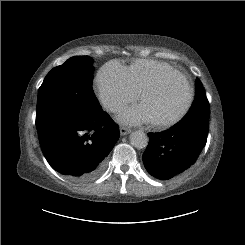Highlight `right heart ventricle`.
<instances>
[{
  "mask_svg": "<svg viewBox=\"0 0 245 245\" xmlns=\"http://www.w3.org/2000/svg\"><path fill=\"white\" fill-rule=\"evenodd\" d=\"M131 84L138 94L152 84L157 77L169 70L174 69L167 63L150 60L138 59L126 67Z\"/></svg>",
  "mask_w": 245,
  "mask_h": 245,
  "instance_id": "obj_1",
  "label": "right heart ventricle"
}]
</instances>
